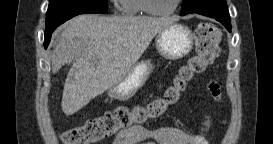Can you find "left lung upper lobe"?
Here are the masks:
<instances>
[{
	"instance_id": "left-lung-upper-lobe-1",
	"label": "left lung upper lobe",
	"mask_w": 273,
	"mask_h": 144,
	"mask_svg": "<svg viewBox=\"0 0 273 144\" xmlns=\"http://www.w3.org/2000/svg\"><path fill=\"white\" fill-rule=\"evenodd\" d=\"M203 1L216 3L218 0H183L181 13L186 14L192 12L193 10L197 9L198 5L202 4Z\"/></svg>"
}]
</instances>
